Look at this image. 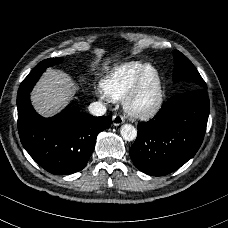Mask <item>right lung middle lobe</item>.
<instances>
[{
    "label": "right lung middle lobe",
    "mask_w": 228,
    "mask_h": 228,
    "mask_svg": "<svg viewBox=\"0 0 228 228\" xmlns=\"http://www.w3.org/2000/svg\"><path fill=\"white\" fill-rule=\"evenodd\" d=\"M62 58H49L41 61L33 70L46 69L47 67L59 64Z\"/></svg>",
    "instance_id": "obj_1"
}]
</instances>
